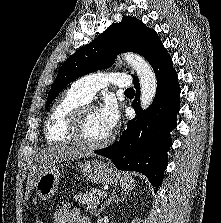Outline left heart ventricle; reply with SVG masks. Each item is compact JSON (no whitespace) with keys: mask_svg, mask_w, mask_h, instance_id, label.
<instances>
[{"mask_svg":"<svg viewBox=\"0 0 221 223\" xmlns=\"http://www.w3.org/2000/svg\"><path fill=\"white\" fill-rule=\"evenodd\" d=\"M84 140L88 142H99L110 135L102 124L96 110H90L86 113L83 121Z\"/></svg>","mask_w":221,"mask_h":223,"instance_id":"b2bd125f","label":"left heart ventricle"}]
</instances>
